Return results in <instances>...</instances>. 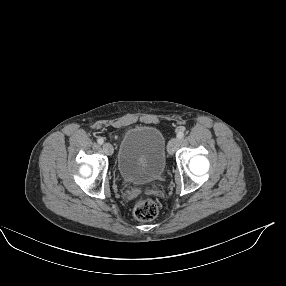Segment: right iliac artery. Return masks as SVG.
<instances>
[{"mask_svg":"<svg viewBox=\"0 0 286 286\" xmlns=\"http://www.w3.org/2000/svg\"><path fill=\"white\" fill-rule=\"evenodd\" d=\"M97 142H98V144H103L104 143V140H103V138L102 137H100V138H98V140H97Z\"/></svg>","mask_w":286,"mask_h":286,"instance_id":"right-iliac-artery-1","label":"right iliac artery"}]
</instances>
